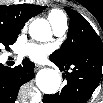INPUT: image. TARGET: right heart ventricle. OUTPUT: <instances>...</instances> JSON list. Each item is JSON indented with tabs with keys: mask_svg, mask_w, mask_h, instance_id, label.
<instances>
[{
	"mask_svg": "<svg viewBox=\"0 0 103 103\" xmlns=\"http://www.w3.org/2000/svg\"><path fill=\"white\" fill-rule=\"evenodd\" d=\"M48 19H49L51 25H53V24H56V23L60 22V21L63 20V19H66V17H65V15H64L62 12H60L59 10L53 9V10L49 13Z\"/></svg>",
	"mask_w": 103,
	"mask_h": 103,
	"instance_id": "obj_1",
	"label": "right heart ventricle"
}]
</instances>
